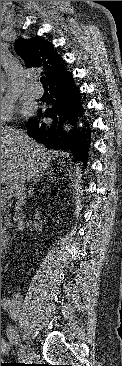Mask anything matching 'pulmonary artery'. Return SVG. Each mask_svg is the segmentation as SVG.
Masks as SVG:
<instances>
[{
  "mask_svg": "<svg viewBox=\"0 0 122 366\" xmlns=\"http://www.w3.org/2000/svg\"><path fill=\"white\" fill-rule=\"evenodd\" d=\"M25 90L34 97H40L43 94L40 85L33 81L26 84Z\"/></svg>",
  "mask_w": 122,
  "mask_h": 366,
  "instance_id": "1",
  "label": "pulmonary artery"
}]
</instances>
